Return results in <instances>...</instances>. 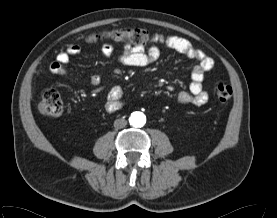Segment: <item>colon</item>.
<instances>
[{"instance_id":"5ec220e1","label":"colon","mask_w":277,"mask_h":218,"mask_svg":"<svg viewBox=\"0 0 277 218\" xmlns=\"http://www.w3.org/2000/svg\"><path fill=\"white\" fill-rule=\"evenodd\" d=\"M118 43H128L133 46H145L150 42L149 34L146 30L140 28H125L113 30L102 35ZM97 40V35H92L89 41ZM216 95L220 101L227 102L233 95V88L224 82L216 83ZM38 109L42 114L58 116L63 110L61 97L57 90L46 88L41 95Z\"/></svg>"}]
</instances>
